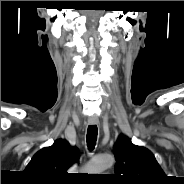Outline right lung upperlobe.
Segmentation results:
<instances>
[{
  "instance_id": "cb5924a9",
  "label": "right lung upper lobe",
  "mask_w": 184,
  "mask_h": 184,
  "mask_svg": "<svg viewBox=\"0 0 184 184\" xmlns=\"http://www.w3.org/2000/svg\"><path fill=\"white\" fill-rule=\"evenodd\" d=\"M78 157L76 147H71L66 140L58 139L52 146L38 151L25 172L36 183L62 184L68 180L67 169L78 160Z\"/></svg>"
}]
</instances>
